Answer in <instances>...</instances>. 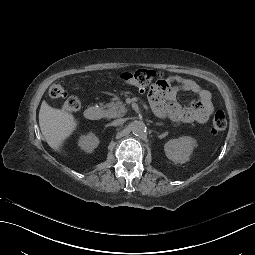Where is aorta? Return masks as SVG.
<instances>
[{
  "mask_svg": "<svg viewBox=\"0 0 255 255\" xmlns=\"http://www.w3.org/2000/svg\"><path fill=\"white\" fill-rule=\"evenodd\" d=\"M132 133L135 135H141L146 131V126L143 121H134L131 123Z\"/></svg>",
  "mask_w": 255,
  "mask_h": 255,
  "instance_id": "aorta-1",
  "label": "aorta"
}]
</instances>
